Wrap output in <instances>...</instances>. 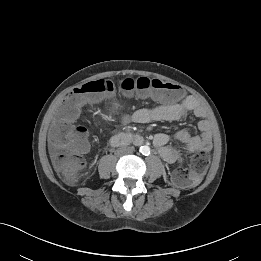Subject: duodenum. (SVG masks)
Masks as SVG:
<instances>
[{
  "label": "duodenum",
  "mask_w": 261,
  "mask_h": 261,
  "mask_svg": "<svg viewBox=\"0 0 261 261\" xmlns=\"http://www.w3.org/2000/svg\"><path fill=\"white\" fill-rule=\"evenodd\" d=\"M142 142L143 138L140 135L131 132L118 133L111 139V143L117 146H125L129 143L140 144Z\"/></svg>",
  "instance_id": "duodenum-1"
}]
</instances>
